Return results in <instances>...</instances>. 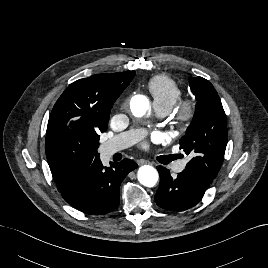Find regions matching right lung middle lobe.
Wrapping results in <instances>:
<instances>
[{
  "label": "right lung middle lobe",
  "instance_id": "obj_1",
  "mask_svg": "<svg viewBox=\"0 0 268 268\" xmlns=\"http://www.w3.org/2000/svg\"><path fill=\"white\" fill-rule=\"evenodd\" d=\"M55 119H58V115ZM106 130L107 127L97 129L92 126L80 133L54 131L46 135V157L52 174L74 177L86 171L93 162L100 159L97 152L99 133Z\"/></svg>",
  "mask_w": 268,
  "mask_h": 268
}]
</instances>
